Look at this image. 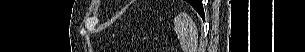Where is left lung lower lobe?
I'll return each instance as SVG.
<instances>
[{
    "label": "left lung lower lobe",
    "mask_w": 305,
    "mask_h": 52,
    "mask_svg": "<svg viewBox=\"0 0 305 52\" xmlns=\"http://www.w3.org/2000/svg\"><path fill=\"white\" fill-rule=\"evenodd\" d=\"M195 10L200 14V16L202 18H204V10H203V6H202V1L201 0H199L198 6L195 8Z\"/></svg>",
    "instance_id": "1"
}]
</instances>
